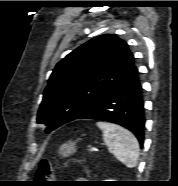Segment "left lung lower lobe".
<instances>
[{"instance_id":"left-lung-lower-lobe-1","label":"left lung lower lobe","mask_w":178,"mask_h":186,"mask_svg":"<svg viewBox=\"0 0 178 186\" xmlns=\"http://www.w3.org/2000/svg\"><path fill=\"white\" fill-rule=\"evenodd\" d=\"M76 119H95L118 124L130 130L140 145H143L145 109L138 70L73 120Z\"/></svg>"}]
</instances>
